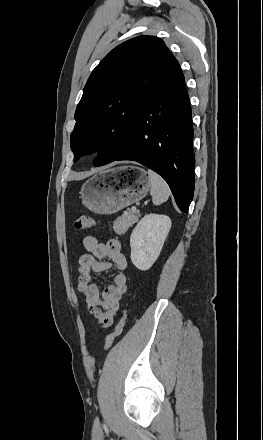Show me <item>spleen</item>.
<instances>
[{
    "mask_svg": "<svg viewBox=\"0 0 263 440\" xmlns=\"http://www.w3.org/2000/svg\"><path fill=\"white\" fill-rule=\"evenodd\" d=\"M148 176L151 182L150 195L152 196L153 203L160 205L167 201L171 191L166 181L152 170H148Z\"/></svg>",
    "mask_w": 263,
    "mask_h": 440,
    "instance_id": "obj_1",
    "label": "spleen"
}]
</instances>
